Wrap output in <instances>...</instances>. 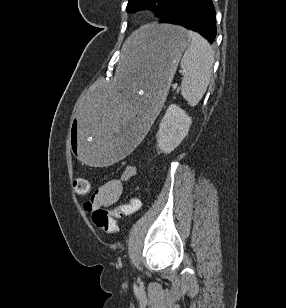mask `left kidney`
Segmentation results:
<instances>
[{"mask_svg": "<svg viewBox=\"0 0 286 308\" xmlns=\"http://www.w3.org/2000/svg\"><path fill=\"white\" fill-rule=\"evenodd\" d=\"M192 119L178 105L168 107L160 122L158 131V147L162 152L171 153L188 134Z\"/></svg>", "mask_w": 286, "mask_h": 308, "instance_id": "obj_1", "label": "left kidney"}]
</instances>
